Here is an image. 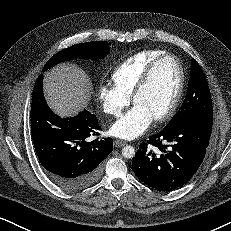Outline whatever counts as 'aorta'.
<instances>
[{"mask_svg": "<svg viewBox=\"0 0 231 231\" xmlns=\"http://www.w3.org/2000/svg\"><path fill=\"white\" fill-rule=\"evenodd\" d=\"M122 155L123 157L127 158V159H131L135 156V149L132 146H125L122 149Z\"/></svg>", "mask_w": 231, "mask_h": 231, "instance_id": "obj_1", "label": "aorta"}]
</instances>
